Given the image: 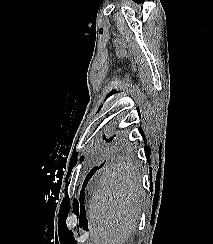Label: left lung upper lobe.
Segmentation results:
<instances>
[{"instance_id": "obj_1", "label": "left lung upper lobe", "mask_w": 213, "mask_h": 244, "mask_svg": "<svg viewBox=\"0 0 213 244\" xmlns=\"http://www.w3.org/2000/svg\"><path fill=\"white\" fill-rule=\"evenodd\" d=\"M104 140H106L107 142H109V141H111L112 140V138H106L105 136H104Z\"/></svg>"}]
</instances>
